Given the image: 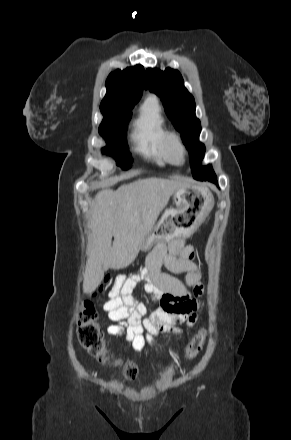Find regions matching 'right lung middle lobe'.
Masks as SVG:
<instances>
[{
	"label": "right lung middle lobe",
	"mask_w": 291,
	"mask_h": 440,
	"mask_svg": "<svg viewBox=\"0 0 291 440\" xmlns=\"http://www.w3.org/2000/svg\"><path fill=\"white\" fill-rule=\"evenodd\" d=\"M131 109H101L104 118L99 126V133L107 143L102 152L113 156L117 165L124 170L130 168L132 161L126 142L127 123L131 118Z\"/></svg>",
	"instance_id": "obj_1"
}]
</instances>
